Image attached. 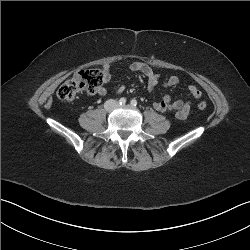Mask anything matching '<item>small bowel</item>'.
Here are the masks:
<instances>
[{"instance_id":"small-bowel-1","label":"small bowel","mask_w":250,"mask_h":250,"mask_svg":"<svg viewBox=\"0 0 250 250\" xmlns=\"http://www.w3.org/2000/svg\"><path fill=\"white\" fill-rule=\"evenodd\" d=\"M129 71L132 73H140L147 78L149 92H152L158 84H161L164 87H172L179 83V78L177 76L163 77L162 75L154 72L148 64L143 62H133L129 66ZM101 72L104 77V82L97 89V93L101 96H105L107 94V90L104 85L109 83L112 78L110 65L105 64ZM124 89L125 87L121 85L117 88L116 93L120 94L124 91ZM188 90L193 100L200 99L201 91L195 85H190ZM191 104L192 100L179 99L172 101L169 95H164L153 103V107L159 112L173 111L175 112L176 118L179 120H185L189 116Z\"/></svg>"}]
</instances>
